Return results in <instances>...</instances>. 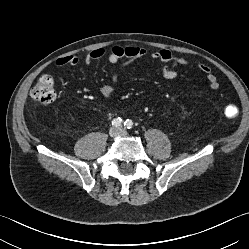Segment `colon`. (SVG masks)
Segmentation results:
<instances>
[{
    "instance_id": "5ec220e1",
    "label": "colon",
    "mask_w": 249,
    "mask_h": 249,
    "mask_svg": "<svg viewBox=\"0 0 249 249\" xmlns=\"http://www.w3.org/2000/svg\"><path fill=\"white\" fill-rule=\"evenodd\" d=\"M31 96L35 101L43 105L52 103L56 96L54 79L52 75L43 74L33 87ZM236 114L237 109L235 106L231 105L226 109L225 115L227 118H233Z\"/></svg>"
}]
</instances>
